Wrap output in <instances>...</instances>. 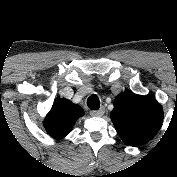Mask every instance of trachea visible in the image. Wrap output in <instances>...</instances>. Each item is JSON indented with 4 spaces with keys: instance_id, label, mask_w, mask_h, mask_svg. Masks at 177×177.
I'll list each match as a JSON object with an SVG mask.
<instances>
[{
    "instance_id": "1",
    "label": "trachea",
    "mask_w": 177,
    "mask_h": 177,
    "mask_svg": "<svg viewBox=\"0 0 177 177\" xmlns=\"http://www.w3.org/2000/svg\"><path fill=\"white\" fill-rule=\"evenodd\" d=\"M87 106L91 110H98L100 108V100L96 94H92L88 99H87Z\"/></svg>"
}]
</instances>
